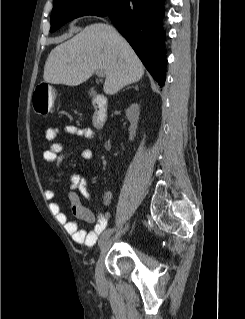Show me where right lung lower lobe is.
Returning a JSON list of instances; mask_svg holds the SVG:
<instances>
[{
  "mask_svg": "<svg viewBox=\"0 0 245 319\" xmlns=\"http://www.w3.org/2000/svg\"><path fill=\"white\" fill-rule=\"evenodd\" d=\"M122 0L108 15L160 86L166 74L164 0Z\"/></svg>",
  "mask_w": 245,
  "mask_h": 319,
  "instance_id": "1",
  "label": "right lung lower lobe"
}]
</instances>
